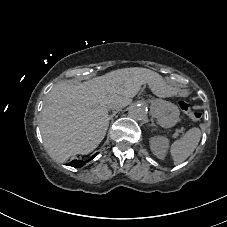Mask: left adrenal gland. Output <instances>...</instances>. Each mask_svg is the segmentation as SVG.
I'll return each mask as SVG.
<instances>
[{
  "label": "left adrenal gland",
  "instance_id": "obj_1",
  "mask_svg": "<svg viewBox=\"0 0 227 227\" xmlns=\"http://www.w3.org/2000/svg\"><path fill=\"white\" fill-rule=\"evenodd\" d=\"M151 122H152V123H151V126H155V127H157V126H156V124L154 123L153 118H151Z\"/></svg>",
  "mask_w": 227,
  "mask_h": 227
}]
</instances>
